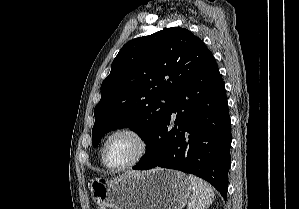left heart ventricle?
Listing matches in <instances>:
<instances>
[{"label":"left heart ventricle","instance_id":"1","mask_svg":"<svg viewBox=\"0 0 299 209\" xmlns=\"http://www.w3.org/2000/svg\"><path fill=\"white\" fill-rule=\"evenodd\" d=\"M139 144L130 135L114 137L107 148L106 160L111 166H121L129 163L138 153Z\"/></svg>","mask_w":299,"mask_h":209}]
</instances>
